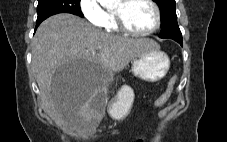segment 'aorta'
Here are the masks:
<instances>
[{
  "label": "aorta",
  "instance_id": "obj_1",
  "mask_svg": "<svg viewBox=\"0 0 227 142\" xmlns=\"http://www.w3.org/2000/svg\"><path fill=\"white\" fill-rule=\"evenodd\" d=\"M100 2L102 5L107 6V5L116 3L117 0H100Z\"/></svg>",
  "mask_w": 227,
  "mask_h": 142
}]
</instances>
